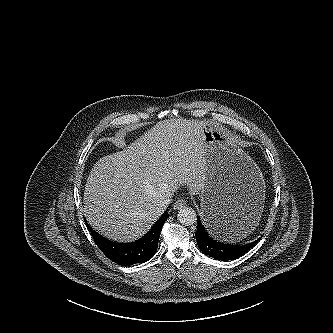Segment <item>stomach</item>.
Returning <instances> with one entry per match:
<instances>
[{"label": "stomach", "instance_id": "stomach-1", "mask_svg": "<svg viewBox=\"0 0 333 333\" xmlns=\"http://www.w3.org/2000/svg\"><path fill=\"white\" fill-rule=\"evenodd\" d=\"M201 213L208 234L237 242L252 234L263 212L265 181L254 160L221 129L206 122Z\"/></svg>", "mask_w": 333, "mask_h": 333}]
</instances>
